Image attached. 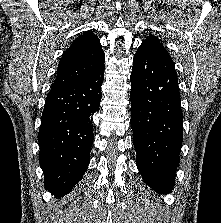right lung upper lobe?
<instances>
[{
	"mask_svg": "<svg viewBox=\"0 0 221 223\" xmlns=\"http://www.w3.org/2000/svg\"><path fill=\"white\" fill-rule=\"evenodd\" d=\"M105 57L99 38L90 31L78 37L64 52L51 90L74 85L101 70Z\"/></svg>",
	"mask_w": 221,
	"mask_h": 223,
	"instance_id": "1",
	"label": "right lung upper lobe"
}]
</instances>
